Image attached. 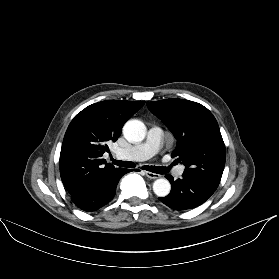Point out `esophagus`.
I'll return each instance as SVG.
<instances>
[{
	"instance_id": "obj_1",
	"label": "esophagus",
	"mask_w": 279,
	"mask_h": 279,
	"mask_svg": "<svg viewBox=\"0 0 279 279\" xmlns=\"http://www.w3.org/2000/svg\"><path fill=\"white\" fill-rule=\"evenodd\" d=\"M145 174H146L147 177H149V178H151V179H157V178L160 177L159 174L152 173V172H149V171H146Z\"/></svg>"
}]
</instances>
